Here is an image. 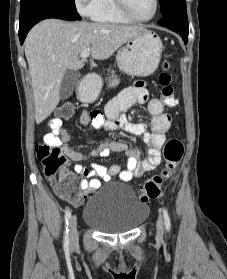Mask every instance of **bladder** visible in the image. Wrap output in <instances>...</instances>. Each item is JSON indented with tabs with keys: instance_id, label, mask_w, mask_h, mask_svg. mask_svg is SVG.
<instances>
[{
	"instance_id": "31cf9c89",
	"label": "bladder",
	"mask_w": 227,
	"mask_h": 279,
	"mask_svg": "<svg viewBox=\"0 0 227 279\" xmlns=\"http://www.w3.org/2000/svg\"><path fill=\"white\" fill-rule=\"evenodd\" d=\"M100 187L85 205L83 222L103 233L131 231L141 225L149 208L129 187L118 185L108 189Z\"/></svg>"
}]
</instances>
